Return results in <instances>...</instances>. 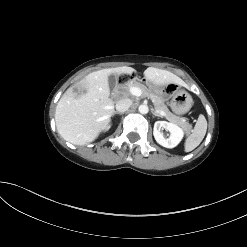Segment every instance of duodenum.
I'll list each match as a JSON object with an SVG mask.
<instances>
[{
    "mask_svg": "<svg viewBox=\"0 0 247 247\" xmlns=\"http://www.w3.org/2000/svg\"><path fill=\"white\" fill-rule=\"evenodd\" d=\"M130 80L133 81L134 83H139V84L140 83H142V84L144 83V85H146V86L149 85V83H150L149 80H147V79L145 80V78H143V77L142 78H140V77L137 78L136 76H131Z\"/></svg>",
    "mask_w": 247,
    "mask_h": 247,
    "instance_id": "duodenum-1",
    "label": "duodenum"
}]
</instances>
